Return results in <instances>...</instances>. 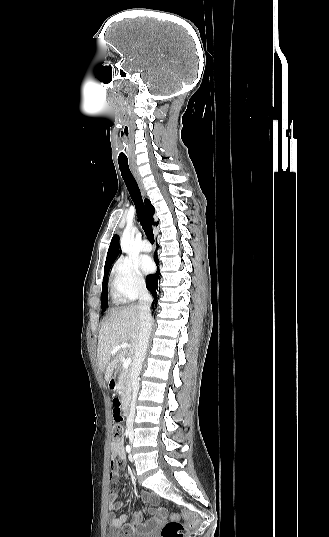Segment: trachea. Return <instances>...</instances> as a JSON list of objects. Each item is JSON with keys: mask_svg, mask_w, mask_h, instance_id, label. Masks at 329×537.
Instances as JSON below:
<instances>
[{"mask_svg": "<svg viewBox=\"0 0 329 537\" xmlns=\"http://www.w3.org/2000/svg\"><path fill=\"white\" fill-rule=\"evenodd\" d=\"M119 168L121 171L122 178L126 184V187L129 191V194L134 202L138 220L147 236V238L154 243V234L151 227V224L147 218L141 193L138 187V184L129 168L128 164L119 163Z\"/></svg>", "mask_w": 329, "mask_h": 537, "instance_id": "1", "label": "trachea"}]
</instances>
